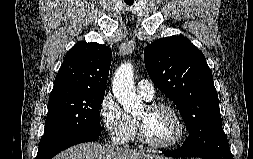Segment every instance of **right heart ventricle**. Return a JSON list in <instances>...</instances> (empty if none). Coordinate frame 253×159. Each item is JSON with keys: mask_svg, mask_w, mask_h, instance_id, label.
Returning a JSON list of instances; mask_svg holds the SVG:
<instances>
[{"mask_svg": "<svg viewBox=\"0 0 253 159\" xmlns=\"http://www.w3.org/2000/svg\"><path fill=\"white\" fill-rule=\"evenodd\" d=\"M130 122H131L130 139H133L136 135L135 120L133 117H130Z\"/></svg>", "mask_w": 253, "mask_h": 159, "instance_id": "e07e8e85", "label": "right heart ventricle"}]
</instances>
